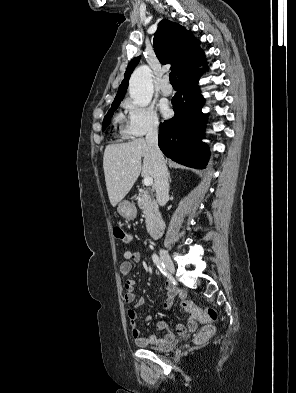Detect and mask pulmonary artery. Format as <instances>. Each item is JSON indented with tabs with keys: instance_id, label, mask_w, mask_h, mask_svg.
<instances>
[{
	"instance_id": "e3ab8cb5",
	"label": "pulmonary artery",
	"mask_w": 296,
	"mask_h": 393,
	"mask_svg": "<svg viewBox=\"0 0 296 393\" xmlns=\"http://www.w3.org/2000/svg\"><path fill=\"white\" fill-rule=\"evenodd\" d=\"M160 90L164 95H170L173 91L172 86L169 83V79L165 76L160 83Z\"/></svg>"
}]
</instances>
